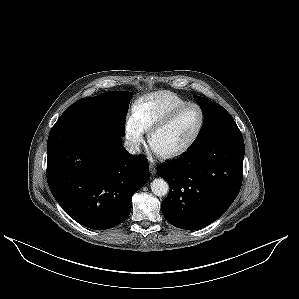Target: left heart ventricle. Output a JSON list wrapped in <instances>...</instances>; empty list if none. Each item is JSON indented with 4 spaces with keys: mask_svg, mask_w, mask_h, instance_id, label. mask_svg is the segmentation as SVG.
Returning a JSON list of instances; mask_svg holds the SVG:
<instances>
[{
    "mask_svg": "<svg viewBox=\"0 0 299 299\" xmlns=\"http://www.w3.org/2000/svg\"><path fill=\"white\" fill-rule=\"evenodd\" d=\"M200 118V111L196 107L186 109L169 126L154 135L151 145L161 154L183 147L197 130Z\"/></svg>",
    "mask_w": 299,
    "mask_h": 299,
    "instance_id": "obj_1",
    "label": "left heart ventricle"
}]
</instances>
